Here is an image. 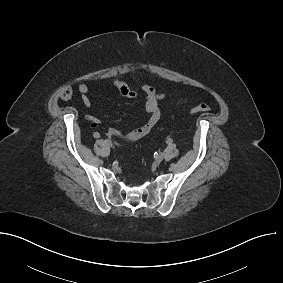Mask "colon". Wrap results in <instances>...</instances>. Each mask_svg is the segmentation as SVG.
<instances>
[{
    "instance_id": "obj_1",
    "label": "colon",
    "mask_w": 283,
    "mask_h": 283,
    "mask_svg": "<svg viewBox=\"0 0 283 283\" xmlns=\"http://www.w3.org/2000/svg\"><path fill=\"white\" fill-rule=\"evenodd\" d=\"M73 92L70 87H65L61 90L60 92V97L62 100L68 101L72 98ZM210 109V105L208 102H200L198 105L194 106L191 109L192 113H200V112H205Z\"/></svg>"
}]
</instances>
